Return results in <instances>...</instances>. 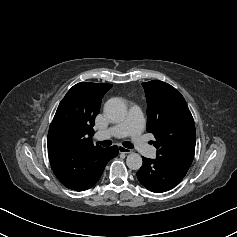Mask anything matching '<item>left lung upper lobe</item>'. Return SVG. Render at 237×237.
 Instances as JSON below:
<instances>
[{"label":"left lung upper lobe","mask_w":237,"mask_h":237,"mask_svg":"<svg viewBox=\"0 0 237 237\" xmlns=\"http://www.w3.org/2000/svg\"><path fill=\"white\" fill-rule=\"evenodd\" d=\"M147 100V131L154 134L156 157L189 168L194 158L196 130L183 96L170 84L142 83Z\"/></svg>","instance_id":"1"}]
</instances>
